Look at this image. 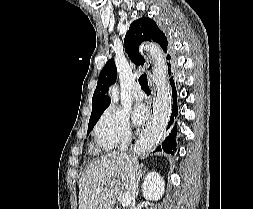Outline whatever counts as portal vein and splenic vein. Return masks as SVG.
I'll return each instance as SVG.
<instances>
[{"mask_svg":"<svg viewBox=\"0 0 253 209\" xmlns=\"http://www.w3.org/2000/svg\"><path fill=\"white\" fill-rule=\"evenodd\" d=\"M117 188L121 191H124V187L123 186H120L119 184H117ZM97 192H101V190H97ZM131 201H132V196L129 192H124L123 193V196H122V206L123 207H127L131 204Z\"/></svg>","mask_w":253,"mask_h":209,"instance_id":"portal-vein-and-splenic-vein-1","label":"portal vein and splenic vein"}]
</instances>
